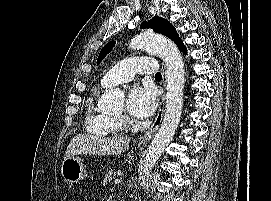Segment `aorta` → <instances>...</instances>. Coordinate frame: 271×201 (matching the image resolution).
I'll use <instances>...</instances> for the list:
<instances>
[{"label":"aorta","instance_id":"obj_1","mask_svg":"<svg viewBox=\"0 0 271 201\" xmlns=\"http://www.w3.org/2000/svg\"><path fill=\"white\" fill-rule=\"evenodd\" d=\"M129 47L134 50L143 49L158 54L166 66L167 93L165 115L159 131L148 148L141 177L142 183H144V179L164 152L165 147L172 140L180 122L185 70L183 59L177 46L162 35L151 32L141 33L131 39ZM123 100L124 93L121 91H106L98 100V106L102 109H109L122 103Z\"/></svg>","mask_w":271,"mask_h":201}]
</instances>
